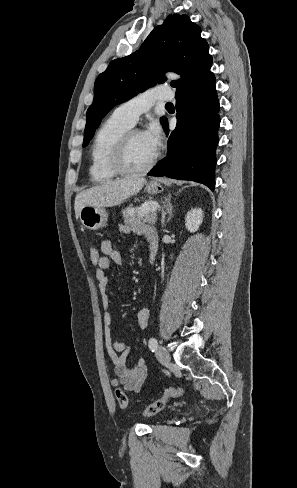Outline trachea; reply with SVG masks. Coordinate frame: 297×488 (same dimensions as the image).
Instances as JSON below:
<instances>
[{
    "label": "trachea",
    "mask_w": 297,
    "mask_h": 488,
    "mask_svg": "<svg viewBox=\"0 0 297 488\" xmlns=\"http://www.w3.org/2000/svg\"><path fill=\"white\" fill-rule=\"evenodd\" d=\"M165 107H173V104L172 103H166Z\"/></svg>",
    "instance_id": "obj_1"
}]
</instances>
